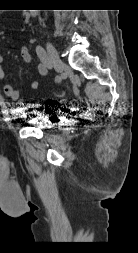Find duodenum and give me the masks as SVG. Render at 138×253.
<instances>
[{
  "label": "duodenum",
  "mask_w": 138,
  "mask_h": 253,
  "mask_svg": "<svg viewBox=\"0 0 138 253\" xmlns=\"http://www.w3.org/2000/svg\"><path fill=\"white\" fill-rule=\"evenodd\" d=\"M35 14H36L35 11H31V12H30V15H31V16H35Z\"/></svg>",
  "instance_id": "410a0bca"
}]
</instances>
